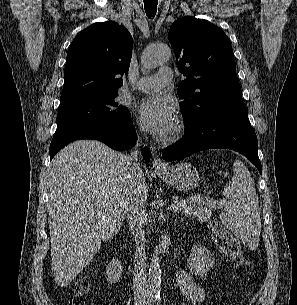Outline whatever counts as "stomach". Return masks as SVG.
I'll use <instances>...</instances> for the list:
<instances>
[{
  "mask_svg": "<svg viewBox=\"0 0 297 305\" xmlns=\"http://www.w3.org/2000/svg\"><path fill=\"white\" fill-rule=\"evenodd\" d=\"M156 172L162 180L179 191L191 190L199 185L198 171L189 163L167 166Z\"/></svg>",
  "mask_w": 297,
  "mask_h": 305,
  "instance_id": "0dacf381",
  "label": "stomach"
}]
</instances>
